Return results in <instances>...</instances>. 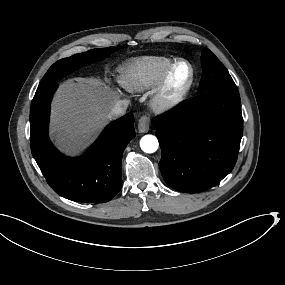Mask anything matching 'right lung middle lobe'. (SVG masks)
<instances>
[{
	"label": "right lung middle lobe",
	"instance_id": "dd1d6c3e",
	"mask_svg": "<svg viewBox=\"0 0 285 285\" xmlns=\"http://www.w3.org/2000/svg\"><path fill=\"white\" fill-rule=\"evenodd\" d=\"M116 51L115 47L92 49L84 53L75 54L63 58L54 63L41 80L37 90H41L55 84L64 75L93 62L106 58L107 55Z\"/></svg>",
	"mask_w": 285,
	"mask_h": 285
}]
</instances>
